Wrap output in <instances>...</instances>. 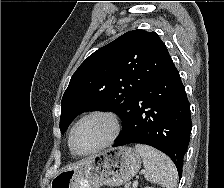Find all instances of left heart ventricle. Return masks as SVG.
I'll return each mask as SVG.
<instances>
[{
  "mask_svg": "<svg viewBox=\"0 0 224 188\" xmlns=\"http://www.w3.org/2000/svg\"><path fill=\"white\" fill-rule=\"evenodd\" d=\"M110 121L102 116H93L84 120L74 135V146L79 152L90 151L102 144L111 134Z\"/></svg>",
  "mask_w": 224,
  "mask_h": 188,
  "instance_id": "left-heart-ventricle-1",
  "label": "left heart ventricle"
}]
</instances>
